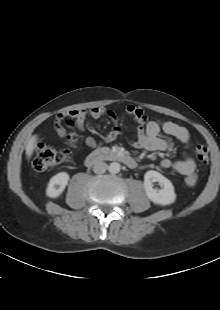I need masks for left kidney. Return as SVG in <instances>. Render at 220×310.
Returning <instances> with one entry per match:
<instances>
[{"instance_id":"left-kidney-1","label":"left kidney","mask_w":220,"mask_h":310,"mask_svg":"<svg viewBox=\"0 0 220 310\" xmlns=\"http://www.w3.org/2000/svg\"><path fill=\"white\" fill-rule=\"evenodd\" d=\"M154 182H158L162 189L153 188ZM144 188L148 198L155 204L166 206L175 202L176 194L173 184L157 171L149 170L145 173Z\"/></svg>"}]
</instances>
